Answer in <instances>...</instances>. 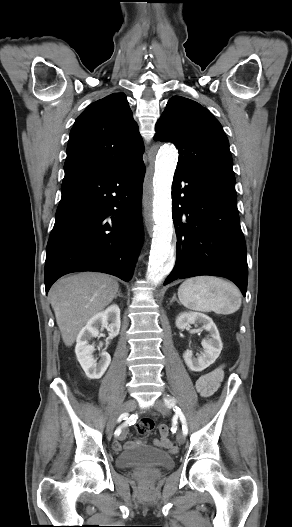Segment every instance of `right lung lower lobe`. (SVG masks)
Listing matches in <instances>:
<instances>
[{
	"instance_id": "right-lung-lower-lobe-1",
	"label": "right lung lower lobe",
	"mask_w": 292,
	"mask_h": 527,
	"mask_svg": "<svg viewBox=\"0 0 292 527\" xmlns=\"http://www.w3.org/2000/svg\"><path fill=\"white\" fill-rule=\"evenodd\" d=\"M142 159L101 173L65 175L46 249V293L61 276L98 271L128 282L142 241Z\"/></svg>"
}]
</instances>
